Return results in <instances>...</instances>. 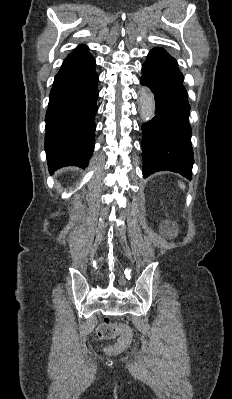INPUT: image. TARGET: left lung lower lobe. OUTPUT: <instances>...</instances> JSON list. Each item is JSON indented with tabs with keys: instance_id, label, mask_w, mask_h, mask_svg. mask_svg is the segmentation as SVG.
<instances>
[{
	"instance_id": "1",
	"label": "left lung lower lobe",
	"mask_w": 232,
	"mask_h": 399,
	"mask_svg": "<svg viewBox=\"0 0 232 399\" xmlns=\"http://www.w3.org/2000/svg\"><path fill=\"white\" fill-rule=\"evenodd\" d=\"M175 58L154 48L142 65V85L155 97V117L142 125L143 176L172 171L192 179L190 105Z\"/></svg>"
}]
</instances>
